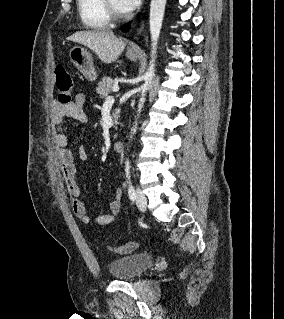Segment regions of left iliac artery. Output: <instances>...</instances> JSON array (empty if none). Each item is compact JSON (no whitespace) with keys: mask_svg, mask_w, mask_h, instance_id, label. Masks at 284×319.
I'll return each instance as SVG.
<instances>
[{"mask_svg":"<svg viewBox=\"0 0 284 319\" xmlns=\"http://www.w3.org/2000/svg\"><path fill=\"white\" fill-rule=\"evenodd\" d=\"M125 172H126V178L128 182V196L130 200L134 201L136 198V192L130 181V163L128 160L126 161V164H125Z\"/></svg>","mask_w":284,"mask_h":319,"instance_id":"44dca946","label":"left iliac artery"}]
</instances>
